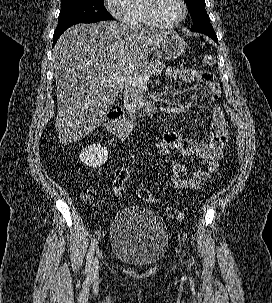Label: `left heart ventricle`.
Returning a JSON list of instances; mask_svg holds the SVG:
<instances>
[{
  "label": "left heart ventricle",
  "mask_w": 272,
  "mask_h": 303,
  "mask_svg": "<svg viewBox=\"0 0 272 303\" xmlns=\"http://www.w3.org/2000/svg\"><path fill=\"white\" fill-rule=\"evenodd\" d=\"M155 13L163 24L175 22L181 15V5L178 0H157Z\"/></svg>",
  "instance_id": "b2bd125f"
}]
</instances>
